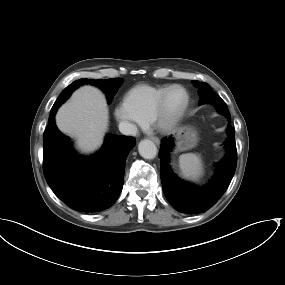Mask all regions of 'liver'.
Masks as SVG:
<instances>
[{
  "label": "liver",
  "instance_id": "liver-1",
  "mask_svg": "<svg viewBox=\"0 0 285 285\" xmlns=\"http://www.w3.org/2000/svg\"><path fill=\"white\" fill-rule=\"evenodd\" d=\"M108 122L105 96L92 86L76 90L56 114L59 130L76 138L78 148L86 153L100 147Z\"/></svg>",
  "mask_w": 285,
  "mask_h": 285
}]
</instances>
